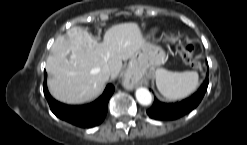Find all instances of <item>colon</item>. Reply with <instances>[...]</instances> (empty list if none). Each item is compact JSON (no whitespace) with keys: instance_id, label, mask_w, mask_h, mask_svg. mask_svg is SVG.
<instances>
[{"instance_id":"5ec220e1","label":"colon","mask_w":247,"mask_h":145,"mask_svg":"<svg viewBox=\"0 0 247 145\" xmlns=\"http://www.w3.org/2000/svg\"><path fill=\"white\" fill-rule=\"evenodd\" d=\"M178 53L183 61L195 68H201L202 64L194 57L193 47L191 45H178Z\"/></svg>"}]
</instances>
